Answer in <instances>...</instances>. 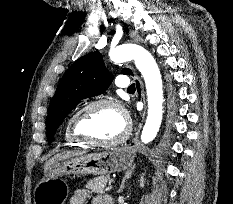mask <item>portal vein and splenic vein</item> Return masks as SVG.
I'll list each match as a JSON object with an SVG mask.
<instances>
[{"instance_id":"obj_1","label":"portal vein and splenic vein","mask_w":233,"mask_h":204,"mask_svg":"<svg viewBox=\"0 0 233 204\" xmlns=\"http://www.w3.org/2000/svg\"><path fill=\"white\" fill-rule=\"evenodd\" d=\"M112 188V186H109V187H107L106 189H105V191H108V190H110Z\"/></svg>"}]
</instances>
